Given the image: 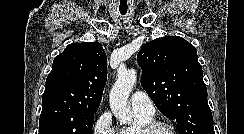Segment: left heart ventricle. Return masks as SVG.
Here are the masks:
<instances>
[{"label":"left heart ventricle","mask_w":244,"mask_h":134,"mask_svg":"<svg viewBox=\"0 0 244 134\" xmlns=\"http://www.w3.org/2000/svg\"><path fill=\"white\" fill-rule=\"evenodd\" d=\"M154 134H171V132L166 128H159Z\"/></svg>","instance_id":"1"}]
</instances>
